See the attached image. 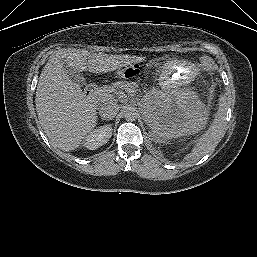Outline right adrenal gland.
I'll use <instances>...</instances> for the list:
<instances>
[{
	"label": "right adrenal gland",
	"mask_w": 257,
	"mask_h": 257,
	"mask_svg": "<svg viewBox=\"0 0 257 257\" xmlns=\"http://www.w3.org/2000/svg\"><path fill=\"white\" fill-rule=\"evenodd\" d=\"M101 120H102V121H103V120H107V121H109V120H112V119L101 118Z\"/></svg>",
	"instance_id": "2a0ac1e0"
}]
</instances>
